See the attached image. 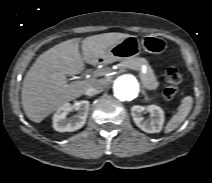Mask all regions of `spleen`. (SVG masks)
Wrapping results in <instances>:
<instances>
[{
  "label": "spleen",
  "mask_w": 212,
  "mask_h": 183,
  "mask_svg": "<svg viewBox=\"0 0 212 183\" xmlns=\"http://www.w3.org/2000/svg\"><path fill=\"white\" fill-rule=\"evenodd\" d=\"M193 98L186 96L182 99L181 105L178 107L177 113L171 118L165 127V133H170L175 130L188 116L192 109Z\"/></svg>",
  "instance_id": "1"
}]
</instances>
